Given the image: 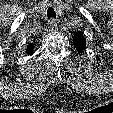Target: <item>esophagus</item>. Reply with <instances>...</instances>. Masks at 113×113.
<instances>
[{
  "instance_id": "34e87169",
  "label": "esophagus",
  "mask_w": 113,
  "mask_h": 113,
  "mask_svg": "<svg viewBox=\"0 0 113 113\" xmlns=\"http://www.w3.org/2000/svg\"><path fill=\"white\" fill-rule=\"evenodd\" d=\"M48 30L49 31H56L57 30V22L55 19H51L48 22Z\"/></svg>"
}]
</instances>
